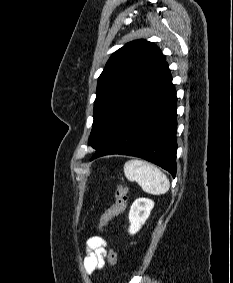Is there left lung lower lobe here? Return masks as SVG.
<instances>
[{"mask_svg":"<svg viewBox=\"0 0 233 283\" xmlns=\"http://www.w3.org/2000/svg\"><path fill=\"white\" fill-rule=\"evenodd\" d=\"M176 91L165 62L91 160L110 154L136 156L176 175Z\"/></svg>","mask_w":233,"mask_h":283,"instance_id":"0a47b994","label":"left lung lower lobe"}]
</instances>
